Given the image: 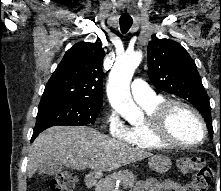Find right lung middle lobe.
Returning a JSON list of instances; mask_svg holds the SVG:
<instances>
[{
  "label": "right lung middle lobe",
  "instance_id": "obj_1",
  "mask_svg": "<svg viewBox=\"0 0 221 191\" xmlns=\"http://www.w3.org/2000/svg\"><path fill=\"white\" fill-rule=\"evenodd\" d=\"M101 106V101L89 100H67L39 104L36 123L42 121L51 123L52 126L92 124L95 122Z\"/></svg>",
  "mask_w": 221,
  "mask_h": 191
}]
</instances>
